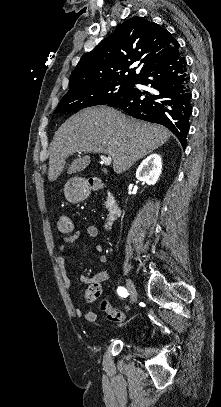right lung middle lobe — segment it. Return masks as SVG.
<instances>
[{
  "mask_svg": "<svg viewBox=\"0 0 221 407\" xmlns=\"http://www.w3.org/2000/svg\"><path fill=\"white\" fill-rule=\"evenodd\" d=\"M134 82H106L67 92L54 113L105 105L131 91Z\"/></svg>",
  "mask_w": 221,
  "mask_h": 407,
  "instance_id": "obj_1",
  "label": "right lung middle lobe"
}]
</instances>
